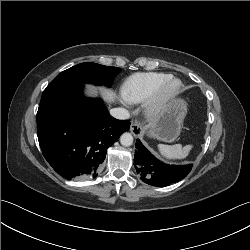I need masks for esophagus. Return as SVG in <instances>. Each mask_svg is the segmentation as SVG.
Listing matches in <instances>:
<instances>
[{
    "mask_svg": "<svg viewBox=\"0 0 250 250\" xmlns=\"http://www.w3.org/2000/svg\"><path fill=\"white\" fill-rule=\"evenodd\" d=\"M130 131L136 137H139L142 135V128L136 121L131 123Z\"/></svg>",
    "mask_w": 250,
    "mask_h": 250,
    "instance_id": "1",
    "label": "esophagus"
}]
</instances>
